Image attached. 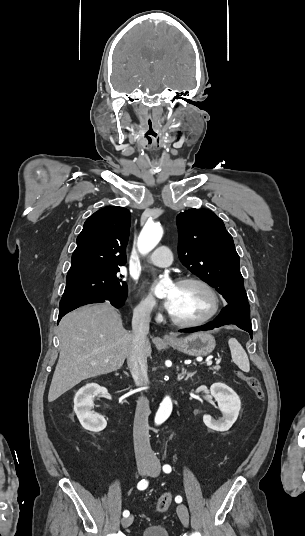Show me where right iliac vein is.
Segmentation results:
<instances>
[{"label": "right iliac vein", "instance_id": "right-iliac-vein-1", "mask_svg": "<svg viewBox=\"0 0 305 536\" xmlns=\"http://www.w3.org/2000/svg\"><path fill=\"white\" fill-rule=\"evenodd\" d=\"M149 470H150L149 465H139V466H138V472H139L141 475L145 474V473L148 472ZM132 522H133V516H132V515H130V516L127 517V518H123V519H122V525H123L124 527H128V526H130V525L132 524Z\"/></svg>", "mask_w": 305, "mask_h": 536}]
</instances>
